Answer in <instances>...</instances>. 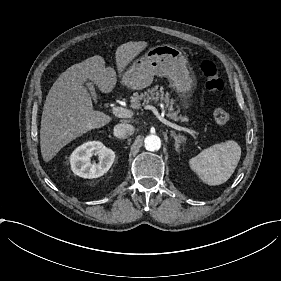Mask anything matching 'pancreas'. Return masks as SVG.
<instances>
[{
	"mask_svg": "<svg viewBox=\"0 0 281 281\" xmlns=\"http://www.w3.org/2000/svg\"><path fill=\"white\" fill-rule=\"evenodd\" d=\"M131 107L133 109L141 108V101H143V105L149 104L150 102L154 103H164V109H168L167 117L173 119L175 121H187V117L178 116L179 110L174 111L173 104L174 100L169 98V93H164L163 90H158V86L147 89V91L138 93H133V96L130 97Z\"/></svg>",
	"mask_w": 281,
	"mask_h": 281,
	"instance_id": "obj_1",
	"label": "pancreas"
}]
</instances>
